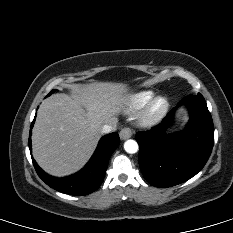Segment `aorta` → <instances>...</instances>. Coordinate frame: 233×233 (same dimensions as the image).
<instances>
[{"instance_id": "aorta-1", "label": "aorta", "mask_w": 233, "mask_h": 233, "mask_svg": "<svg viewBox=\"0 0 233 233\" xmlns=\"http://www.w3.org/2000/svg\"><path fill=\"white\" fill-rule=\"evenodd\" d=\"M124 149L127 153H130V154H133V153H136L139 149L138 147V143L135 141V140H127L125 143H124Z\"/></svg>"}]
</instances>
